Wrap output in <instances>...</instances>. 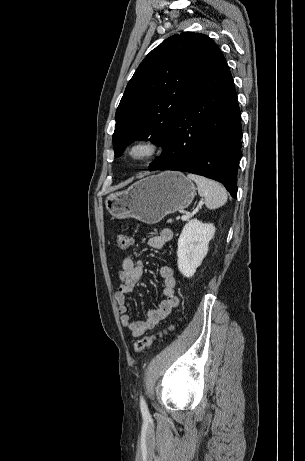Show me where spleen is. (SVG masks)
I'll use <instances>...</instances> for the list:
<instances>
[{"label": "spleen", "instance_id": "3e777b00", "mask_svg": "<svg viewBox=\"0 0 305 461\" xmlns=\"http://www.w3.org/2000/svg\"><path fill=\"white\" fill-rule=\"evenodd\" d=\"M187 178L197 184L198 193L204 197L208 209L219 208L227 202L226 190L219 183L195 174H188Z\"/></svg>", "mask_w": 305, "mask_h": 461}]
</instances>
